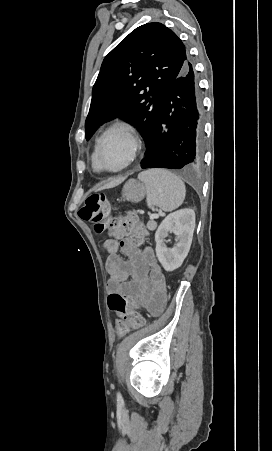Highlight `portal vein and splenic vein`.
Returning <instances> with one entry per match:
<instances>
[{
    "instance_id": "portal-vein-and-splenic-vein-1",
    "label": "portal vein and splenic vein",
    "mask_w": 272,
    "mask_h": 451,
    "mask_svg": "<svg viewBox=\"0 0 272 451\" xmlns=\"http://www.w3.org/2000/svg\"><path fill=\"white\" fill-rule=\"evenodd\" d=\"M150 218H158L157 214H152V216H150Z\"/></svg>"
}]
</instances>
